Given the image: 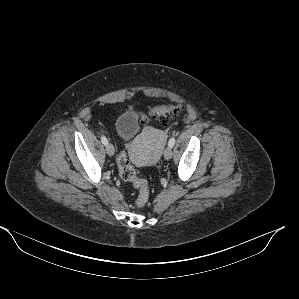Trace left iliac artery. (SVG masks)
Segmentation results:
<instances>
[{
  "label": "left iliac artery",
  "instance_id": "1",
  "mask_svg": "<svg viewBox=\"0 0 299 299\" xmlns=\"http://www.w3.org/2000/svg\"><path fill=\"white\" fill-rule=\"evenodd\" d=\"M174 144H175V138L172 137V138L169 140L168 145H169L170 147H173Z\"/></svg>",
  "mask_w": 299,
  "mask_h": 299
}]
</instances>
